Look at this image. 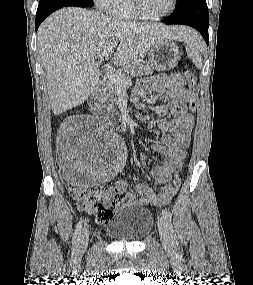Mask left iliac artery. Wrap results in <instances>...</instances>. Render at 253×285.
Segmentation results:
<instances>
[{"label":"left iliac artery","instance_id":"obj_1","mask_svg":"<svg viewBox=\"0 0 253 285\" xmlns=\"http://www.w3.org/2000/svg\"><path fill=\"white\" fill-rule=\"evenodd\" d=\"M162 215H163V218L165 219L169 229H170V232H171V239H172V244L174 245L175 248H177L178 246V241H177V238H176V234L174 233V230H173V225H172V215L171 213L166 210V209H163L162 210Z\"/></svg>","mask_w":253,"mask_h":285}]
</instances>
